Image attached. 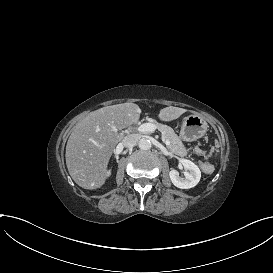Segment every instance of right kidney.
Segmentation results:
<instances>
[{
	"mask_svg": "<svg viewBox=\"0 0 273 273\" xmlns=\"http://www.w3.org/2000/svg\"><path fill=\"white\" fill-rule=\"evenodd\" d=\"M107 175L108 176H110L111 175V171L109 170V171H107Z\"/></svg>",
	"mask_w": 273,
	"mask_h": 273,
	"instance_id": "obj_1",
	"label": "right kidney"
}]
</instances>
